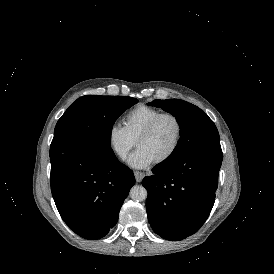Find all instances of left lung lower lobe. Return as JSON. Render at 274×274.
Listing matches in <instances>:
<instances>
[{"label":"left lung lower lobe","instance_id":"0a47b994","mask_svg":"<svg viewBox=\"0 0 274 274\" xmlns=\"http://www.w3.org/2000/svg\"><path fill=\"white\" fill-rule=\"evenodd\" d=\"M221 163V148H205L152 169L142 185L155 233L178 241L199 230L214 205Z\"/></svg>","mask_w":274,"mask_h":274}]
</instances>
